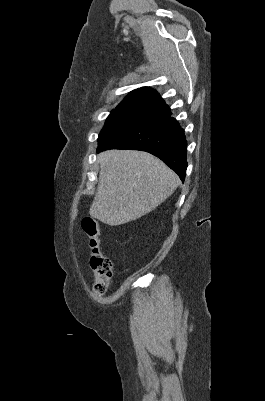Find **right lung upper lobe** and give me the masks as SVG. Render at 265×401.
I'll return each instance as SVG.
<instances>
[{"label": "right lung upper lobe", "instance_id": "1", "mask_svg": "<svg viewBox=\"0 0 265 401\" xmlns=\"http://www.w3.org/2000/svg\"><path fill=\"white\" fill-rule=\"evenodd\" d=\"M127 104H151L162 108L167 107L159 93L149 87H142L130 92L119 105Z\"/></svg>", "mask_w": 265, "mask_h": 401}]
</instances>
